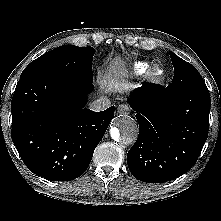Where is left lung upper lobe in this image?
Segmentation results:
<instances>
[{"instance_id":"5c2ea615","label":"left lung upper lobe","mask_w":221,"mask_h":221,"mask_svg":"<svg viewBox=\"0 0 221 221\" xmlns=\"http://www.w3.org/2000/svg\"><path fill=\"white\" fill-rule=\"evenodd\" d=\"M174 66V77L167 89L177 92L184 89L206 86L203 78L190 63L169 52Z\"/></svg>"}]
</instances>
